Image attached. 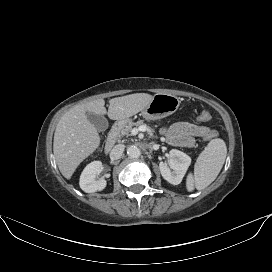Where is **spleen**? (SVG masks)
Masks as SVG:
<instances>
[{
	"mask_svg": "<svg viewBox=\"0 0 272 272\" xmlns=\"http://www.w3.org/2000/svg\"><path fill=\"white\" fill-rule=\"evenodd\" d=\"M227 147L220 138L211 140L201 152L194 167V175L189 174L186 188L192 192L194 188L202 190L210 185L218 176L225 162Z\"/></svg>",
	"mask_w": 272,
	"mask_h": 272,
	"instance_id": "3e777b00",
	"label": "spleen"
}]
</instances>
